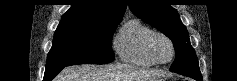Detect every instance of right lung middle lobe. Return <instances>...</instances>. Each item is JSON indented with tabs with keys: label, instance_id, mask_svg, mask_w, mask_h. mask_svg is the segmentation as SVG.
Instances as JSON below:
<instances>
[{
	"label": "right lung middle lobe",
	"instance_id": "dd1d6c3e",
	"mask_svg": "<svg viewBox=\"0 0 237 81\" xmlns=\"http://www.w3.org/2000/svg\"><path fill=\"white\" fill-rule=\"evenodd\" d=\"M120 21L61 20L47 57L46 70L112 62L110 39Z\"/></svg>",
	"mask_w": 237,
	"mask_h": 81
}]
</instances>
